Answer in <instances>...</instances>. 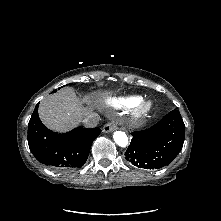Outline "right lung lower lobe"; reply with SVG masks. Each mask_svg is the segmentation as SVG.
<instances>
[{
	"label": "right lung lower lobe",
	"instance_id": "1",
	"mask_svg": "<svg viewBox=\"0 0 221 221\" xmlns=\"http://www.w3.org/2000/svg\"><path fill=\"white\" fill-rule=\"evenodd\" d=\"M38 105L28 124V144L35 158L61 171L83 166L101 129L75 128L64 134L52 132L40 121Z\"/></svg>",
	"mask_w": 221,
	"mask_h": 221
}]
</instances>
